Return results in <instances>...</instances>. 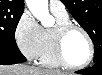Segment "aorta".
I'll use <instances>...</instances> for the list:
<instances>
[{
    "label": "aorta",
    "instance_id": "aorta-1",
    "mask_svg": "<svg viewBox=\"0 0 102 75\" xmlns=\"http://www.w3.org/2000/svg\"><path fill=\"white\" fill-rule=\"evenodd\" d=\"M26 4L44 27H51L54 24L55 20L49 14L48 0H26Z\"/></svg>",
    "mask_w": 102,
    "mask_h": 75
}]
</instances>
